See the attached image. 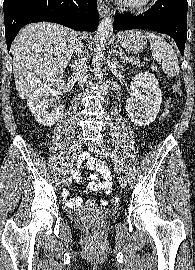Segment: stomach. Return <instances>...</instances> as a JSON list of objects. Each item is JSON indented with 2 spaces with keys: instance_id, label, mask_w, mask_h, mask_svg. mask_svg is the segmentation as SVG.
<instances>
[{
  "instance_id": "stomach-1",
  "label": "stomach",
  "mask_w": 195,
  "mask_h": 270,
  "mask_svg": "<svg viewBox=\"0 0 195 270\" xmlns=\"http://www.w3.org/2000/svg\"><path fill=\"white\" fill-rule=\"evenodd\" d=\"M120 45L126 51L137 53L144 49L147 39L139 30L122 31L118 33Z\"/></svg>"
}]
</instances>
